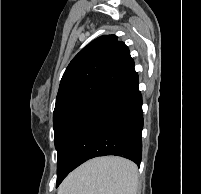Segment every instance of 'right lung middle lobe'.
<instances>
[{"label": "right lung middle lobe", "mask_w": 201, "mask_h": 194, "mask_svg": "<svg viewBox=\"0 0 201 194\" xmlns=\"http://www.w3.org/2000/svg\"><path fill=\"white\" fill-rule=\"evenodd\" d=\"M95 97H80L67 101L54 109L53 123H54V142L56 149L61 141L64 131L70 121L87 106Z\"/></svg>", "instance_id": "1"}]
</instances>
